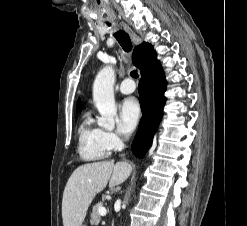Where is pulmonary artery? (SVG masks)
<instances>
[{
  "instance_id": "pulmonary-artery-1",
  "label": "pulmonary artery",
  "mask_w": 247,
  "mask_h": 226,
  "mask_svg": "<svg viewBox=\"0 0 247 226\" xmlns=\"http://www.w3.org/2000/svg\"><path fill=\"white\" fill-rule=\"evenodd\" d=\"M135 88H136V85L134 81L127 78L122 81V83L120 84L119 90L122 94H130L134 92Z\"/></svg>"
}]
</instances>
